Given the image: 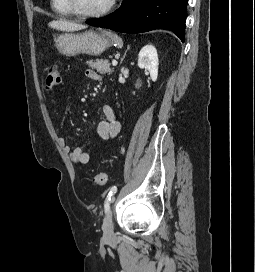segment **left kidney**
Returning <instances> with one entry per match:
<instances>
[{
	"label": "left kidney",
	"mask_w": 255,
	"mask_h": 272,
	"mask_svg": "<svg viewBox=\"0 0 255 272\" xmlns=\"http://www.w3.org/2000/svg\"><path fill=\"white\" fill-rule=\"evenodd\" d=\"M158 54L153 45L144 46L138 55V66L149 71L151 80L155 82L158 77Z\"/></svg>",
	"instance_id": "left-kidney-1"
}]
</instances>
